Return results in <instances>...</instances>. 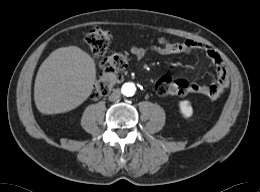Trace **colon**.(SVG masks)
Wrapping results in <instances>:
<instances>
[{
    "label": "colon",
    "mask_w": 260,
    "mask_h": 192,
    "mask_svg": "<svg viewBox=\"0 0 260 192\" xmlns=\"http://www.w3.org/2000/svg\"><path fill=\"white\" fill-rule=\"evenodd\" d=\"M86 44L90 52L97 57L105 55L111 43L109 32L95 27L91 29L85 37ZM128 58L124 53H113L102 61V73L95 83L92 97L99 99L107 95L112 87L122 77V72L126 69ZM154 89L159 96H180L189 92V83L184 79H175L170 76L160 77Z\"/></svg>",
    "instance_id": "colon-1"
}]
</instances>
